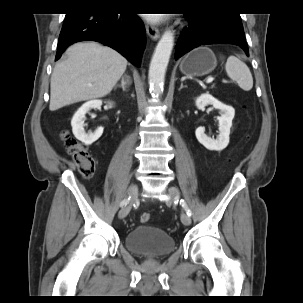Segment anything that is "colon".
<instances>
[{"instance_id":"obj_1","label":"colon","mask_w":303,"mask_h":303,"mask_svg":"<svg viewBox=\"0 0 303 303\" xmlns=\"http://www.w3.org/2000/svg\"><path fill=\"white\" fill-rule=\"evenodd\" d=\"M66 146L69 154L78 165L81 174L86 177L94 176L97 169V160L88 152L86 147L70 137H67ZM150 218V213H142L140 222L147 223Z\"/></svg>"}]
</instances>
